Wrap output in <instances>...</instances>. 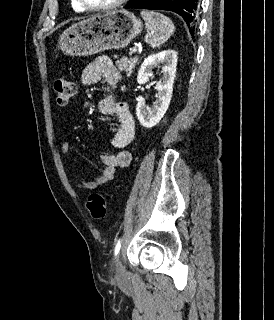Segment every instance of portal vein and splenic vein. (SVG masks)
<instances>
[{
    "instance_id": "obj_1",
    "label": "portal vein and splenic vein",
    "mask_w": 274,
    "mask_h": 320,
    "mask_svg": "<svg viewBox=\"0 0 274 320\" xmlns=\"http://www.w3.org/2000/svg\"><path fill=\"white\" fill-rule=\"evenodd\" d=\"M132 52H137V50H132ZM132 52H131V54H132Z\"/></svg>"
}]
</instances>
